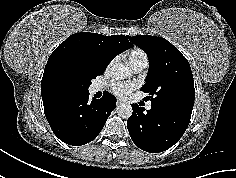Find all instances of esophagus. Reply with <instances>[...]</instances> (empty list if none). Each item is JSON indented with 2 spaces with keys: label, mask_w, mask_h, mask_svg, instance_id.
Here are the masks:
<instances>
[{
  "label": "esophagus",
  "mask_w": 236,
  "mask_h": 178,
  "mask_svg": "<svg viewBox=\"0 0 236 178\" xmlns=\"http://www.w3.org/2000/svg\"><path fill=\"white\" fill-rule=\"evenodd\" d=\"M116 104H117V106H119V105H122L123 102H122L121 100L118 99Z\"/></svg>",
  "instance_id": "34e87169"
}]
</instances>
